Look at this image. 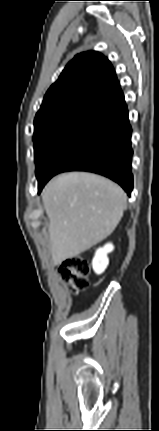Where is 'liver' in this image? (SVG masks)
<instances>
[{"instance_id":"obj_1","label":"liver","mask_w":159,"mask_h":431,"mask_svg":"<svg viewBox=\"0 0 159 431\" xmlns=\"http://www.w3.org/2000/svg\"><path fill=\"white\" fill-rule=\"evenodd\" d=\"M49 219L52 263L57 266L108 237L126 204L123 189L111 180L85 172L61 174L42 192Z\"/></svg>"}]
</instances>
